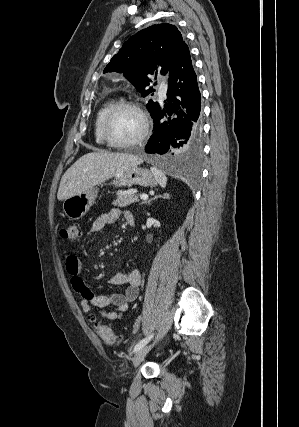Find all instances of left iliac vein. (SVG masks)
Here are the masks:
<instances>
[{
  "label": "left iliac vein",
  "instance_id": "obj_1",
  "mask_svg": "<svg viewBox=\"0 0 299 427\" xmlns=\"http://www.w3.org/2000/svg\"><path fill=\"white\" fill-rule=\"evenodd\" d=\"M153 344H149L146 346H143L140 350L136 352V354L133 357V366L137 367L141 361L144 359L146 354L151 350Z\"/></svg>",
  "mask_w": 299,
  "mask_h": 427
}]
</instances>
